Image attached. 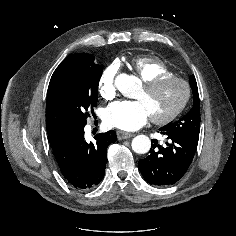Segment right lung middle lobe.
Segmentation results:
<instances>
[{"label":"right lung middle lobe","instance_id":"dd1d6c3e","mask_svg":"<svg viewBox=\"0 0 236 236\" xmlns=\"http://www.w3.org/2000/svg\"><path fill=\"white\" fill-rule=\"evenodd\" d=\"M102 67L95 64L94 56L86 53L73 54L71 67L63 74L55 101L63 113L68 130L83 127L90 112L97 105L98 85ZM49 142L62 139L61 132L48 134Z\"/></svg>","mask_w":236,"mask_h":236}]
</instances>
